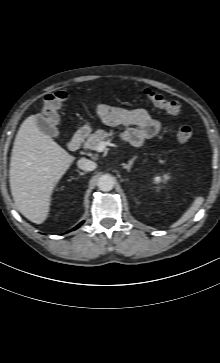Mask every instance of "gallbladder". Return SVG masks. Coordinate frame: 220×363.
I'll return each mask as SVG.
<instances>
[{
	"label": "gallbladder",
	"instance_id": "bac80fb5",
	"mask_svg": "<svg viewBox=\"0 0 220 363\" xmlns=\"http://www.w3.org/2000/svg\"><path fill=\"white\" fill-rule=\"evenodd\" d=\"M35 118L37 126L43 133L54 138H58L60 136L59 129L56 127L55 124L51 123L45 116H43L42 114H37Z\"/></svg>",
	"mask_w": 220,
	"mask_h": 363
}]
</instances>
